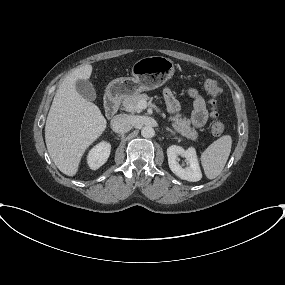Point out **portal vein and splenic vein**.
Masks as SVG:
<instances>
[{"mask_svg":"<svg viewBox=\"0 0 285 285\" xmlns=\"http://www.w3.org/2000/svg\"><path fill=\"white\" fill-rule=\"evenodd\" d=\"M148 106L153 107V108H157L154 104L147 103V102L144 101V100H141V101L138 103V108L141 109V110L146 109Z\"/></svg>","mask_w":285,"mask_h":285,"instance_id":"portal-vein-and-splenic-vein-1","label":"portal vein and splenic vein"}]
</instances>
